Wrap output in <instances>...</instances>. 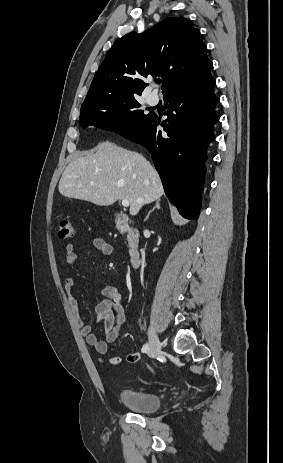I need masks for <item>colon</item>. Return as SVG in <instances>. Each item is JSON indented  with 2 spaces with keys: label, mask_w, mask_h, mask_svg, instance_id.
I'll return each mask as SVG.
<instances>
[{
  "label": "colon",
  "mask_w": 283,
  "mask_h": 463,
  "mask_svg": "<svg viewBox=\"0 0 283 463\" xmlns=\"http://www.w3.org/2000/svg\"><path fill=\"white\" fill-rule=\"evenodd\" d=\"M74 235L72 222L68 219H62L59 222L58 236L60 239H69Z\"/></svg>",
  "instance_id": "5ec220e1"
}]
</instances>
